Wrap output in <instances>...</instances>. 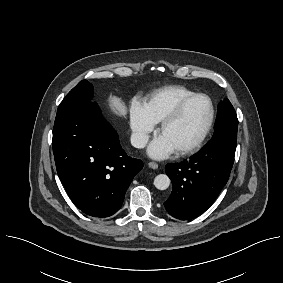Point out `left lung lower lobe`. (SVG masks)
<instances>
[{
    "label": "left lung lower lobe",
    "instance_id": "obj_1",
    "mask_svg": "<svg viewBox=\"0 0 283 283\" xmlns=\"http://www.w3.org/2000/svg\"><path fill=\"white\" fill-rule=\"evenodd\" d=\"M234 156L235 151L221 145H205L190 160L168 164L165 170L173 188L164 203L167 212L187 220L206 211L226 185Z\"/></svg>",
    "mask_w": 283,
    "mask_h": 283
}]
</instances>
